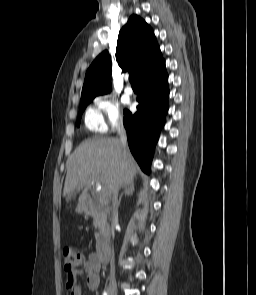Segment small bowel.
<instances>
[{"label":"small bowel","mask_w":256,"mask_h":295,"mask_svg":"<svg viewBox=\"0 0 256 295\" xmlns=\"http://www.w3.org/2000/svg\"><path fill=\"white\" fill-rule=\"evenodd\" d=\"M101 263H99L96 253L91 252L86 259L83 260L81 267L66 273V288L70 295H83L82 288L79 284V276L83 273L87 274V285L90 290H97L100 283L99 273Z\"/></svg>","instance_id":"1"}]
</instances>
